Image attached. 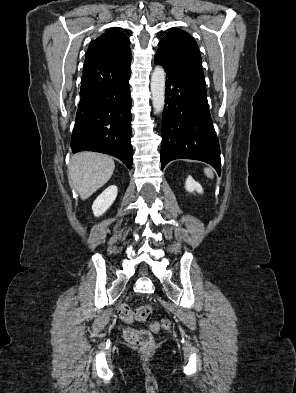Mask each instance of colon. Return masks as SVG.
Listing matches in <instances>:
<instances>
[{"label":"colon","mask_w":296,"mask_h":393,"mask_svg":"<svg viewBox=\"0 0 296 393\" xmlns=\"http://www.w3.org/2000/svg\"><path fill=\"white\" fill-rule=\"evenodd\" d=\"M119 314L126 322H131L133 320L146 321L152 314V307L149 305H143L132 310L127 305H122L119 309ZM170 326V320L163 319L152 323L150 329L153 332H157L161 329H168ZM125 336L131 345L140 348L144 352H149L154 348V341L149 331L128 329L125 332Z\"/></svg>","instance_id":"obj_1"}]
</instances>
